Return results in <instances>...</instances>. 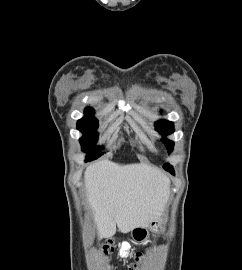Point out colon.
<instances>
[{"instance_id": "obj_1", "label": "colon", "mask_w": 242, "mask_h": 270, "mask_svg": "<svg viewBox=\"0 0 242 270\" xmlns=\"http://www.w3.org/2000/svg\"><path fill=\"white\" fill-rule=\"evenodd\" d=\"M114 250V242L109 239L101 245V252L104 256L108 257ZM144 259V253H137L134 262L129 266V270H137L140 263Z\"/></svg>"}]
</instances>
